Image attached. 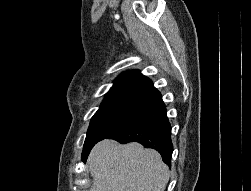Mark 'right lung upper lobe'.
<instances>
[{"instance_id":"1","label":"right lung upper lobe","mask_w":251,"mask_h":191,"mask_svg":"<svg viewBox=\"0 0 251 191\" xmlns=\"http://www.w3.org/2000/svg\"><path fill=\"white\" fill-rule=\"evenodd\" d=\"M161 98L150 79L139 71L119 75L100 106H127L144 110Z\"/></svg>"}]
</instances>
